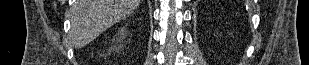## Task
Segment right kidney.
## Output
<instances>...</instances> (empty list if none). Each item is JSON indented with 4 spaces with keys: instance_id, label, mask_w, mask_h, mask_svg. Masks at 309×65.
Listing matches in <instances>:
<instances>
[{
    "instance_id": "ca27d5eb",
    "label": "right kidney",
    "mask_w": 309,
    "mask_h": 65,
    "mask_svg": "<svg viewBox=\"0 0 309 65\" xmlns=\"http://www.w3.org/2000/svg\"><path fill=\"white\" fill-rule=\"evenodd\" d=\"M120 37L123 38L125 36V33L122 31L119 33Z\"/></svg>"
}]
</instances>
